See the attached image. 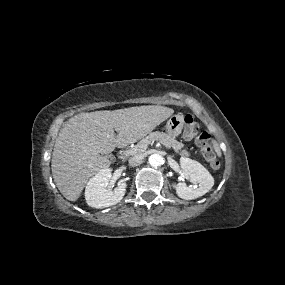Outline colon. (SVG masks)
Masks as SVG:
<instances>
[{
  "instance_id": "5ec220e1",
  "label": "colon",
  "mask_w": 285,
  "mask_h": 285,
  "mask_svg": "<svg viewBox=\"0 0 285 285\" xmlns=\"http://www.w3.org/2000/svg\"><path fill=\"white\" fill-rule=\"evenodd\" d=\"M184 137L186 139L195 138L197 145L200 147L203 156L209 162L213 169L220 167V162L217 157L216 147L210 134L205 130H200L198 123L190 114L184 116Z\"/></svg>"
}]
</instances>
